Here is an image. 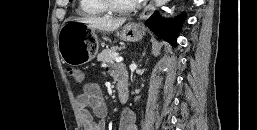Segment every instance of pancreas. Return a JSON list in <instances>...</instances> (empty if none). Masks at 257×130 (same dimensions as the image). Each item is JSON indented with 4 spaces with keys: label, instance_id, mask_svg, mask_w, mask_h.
I'll list each match as a JSON object with an SVG mask.
<instances>
[{
    "label": "pancreas",
    "instance_id": "pancreas-1",
    "mask_svg": "<svg viewBox=\"0 0 257 130\" xmlns=\"http://www.w3.org/2000/svg\"><path fill=\"white\" fill-rule=\"evenodd\" d=\"M121 49L122 47L119 48L117 46H113L110 49H105L97 56V60L103 64H112L117 50Z\"/></svg>",
    "mask_w": 257,
    "mask_h": 130
}]
</instances>
